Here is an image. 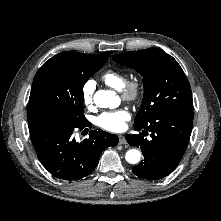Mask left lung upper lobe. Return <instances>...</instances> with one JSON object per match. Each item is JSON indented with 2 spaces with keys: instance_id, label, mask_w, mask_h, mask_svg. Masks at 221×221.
I'll return each mask as SVG.
<instances>
[{
  "instance_id": "obj_1",
  "label": "left lung upper lobe",
  "mask_w": 221,
  "mask_h": 221,
  "mask_svg": "<svg viewBox=\"0 0 221 221\" xmlns=\"http://www.w3.org/2000/svg\"><path fill=\"white\" fill-rule=\"evenodd\" d=\"M113 60L136 69L143 77L144 96L134 126H144L160 112L192 110L189 82L178 62L158 48L130 51Z\"/></svg>"
}]
</instances>
